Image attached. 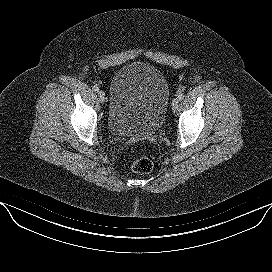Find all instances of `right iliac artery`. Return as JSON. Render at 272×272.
Here are the masks:
<instances>
[{
	"label": "right iliac artery",
	"instance_id": "obj_1",
	"mask_svg": "<svg viewBox=\"0 0 272 272\" xmlns=\"http://www.w3.org/2000/svg\"><path fill=\"white\" fill-rule=\"evenodd\" d=\"M95 92H99V87L97 85L93 86L92 88Z\"/></svg>",
	"mask_w": 272,
	"mask_h": 272
}]
</instances>
